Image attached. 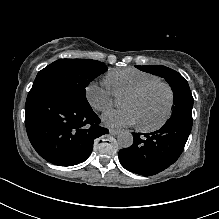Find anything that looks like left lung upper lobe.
<instances>
[{
  "label": "left lung upper lobe",
  "mask_w": 219,
  "mask_h": 219,
  "mask_svg": "<svg viewBox=\"0 0 219 219\" xmlns=\"http://www.w3.org/2000/svg\"><path fill=\"white\" fill-rule=\"evenodd\" d=\"M141 71L163 77L172 88L174 94V108L169 120H185L192 122L193 97L185 78L178 72L161 65H136Z\"/></svg>",
  "instance_id": "1"
}]
</instances>
